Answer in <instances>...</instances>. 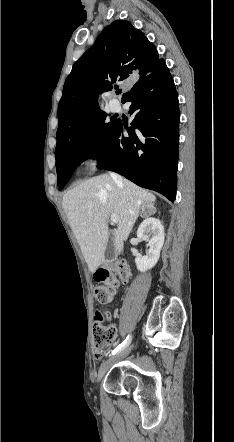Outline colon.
I'll use <instances>...</instances> for the list:
<instances>
[{
    "label": "colon",
    "mask_w": 234,
    "mask_h": 442,
    "mask_svg": "<svg viewBox=\"0 0 234 442\" xmlns=\"http://www.w3.org/2000/svg\"><path fill=\"white\" fill-rule=\"evenodd\" d=\"M131 277V271L128 264L124 261H117L112 270L100 268L95 273V279L102 283L97 286L94 291L96 300L101 304H108L116 298L119 283H128ZM108 316L99 312L95 319L93 332V353L97 361L102 360L106 351L111 346L115 329L110 325V320L106 321ZM102 319L105 322L104 327L99 328L96 325L97 320Z\"/></svg>",
    "instance_id": "obj_1"
}]
</instances>
